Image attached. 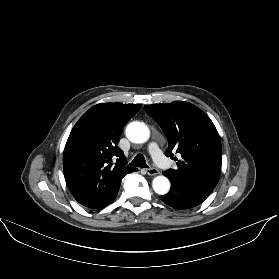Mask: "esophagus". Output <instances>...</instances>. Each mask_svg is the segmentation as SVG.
Instances as JSON below:
<instances>
[{"label":"esophagus","instance_id":"1","mask_svg":"<svg viewBox=\"0 0 279 279\" xmlns=\"http://www.w3.org/2000/svg\"><path fill=\"white\" fill-rule=\"evenodd\" d=\"M145 171L148 175H151V176L159 174V170L154 167L146 168Z\"/></svg>","mask_w":279,"mask_h":279}]
</instances>
